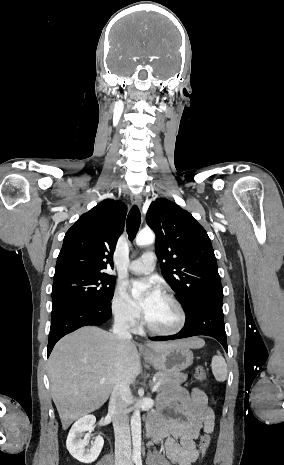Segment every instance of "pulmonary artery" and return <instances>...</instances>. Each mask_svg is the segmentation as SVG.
<instances>
[{
  "label": "pulmonary artery",
  "mask_w": 284,
  "mask_h": 465,
  "mask_svg": "<svg viewBox=\"0 0 284 465\" xmlns=\"http://www.w3.org/2000/svg\"><path fill=\"white\" fill-rule=\"evenodd\" d=\"M155 260L154 254L144 253L137 260L128 263L127 268L134 274H146L153 270Z\"/></svg>",
  "instance_id": "e3ab8cb5"
}]
</instances>
